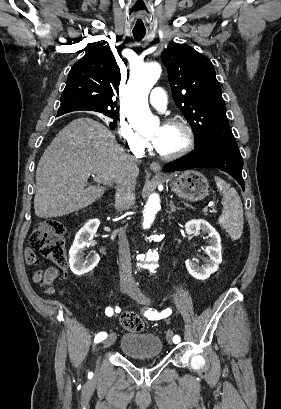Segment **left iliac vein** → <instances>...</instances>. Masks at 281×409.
I'll list each match as a JSON object with an SVG mask.
<instances>
[{"instance_id": "1", "label": "left iliac vein", "mask_w": 281, "mask_h": 409, "mask_svg": "<svg viewBox=\"0 0 281 409\" xmlns=\"http://www.w3.org/2000/svg\"><path fill=\"white\" fill-rule=\"evenodd\" d=\"M127 293L130 297L135 299L137 302L147 305L150 303L149 298H147L144 293L140 290L137 284L131 283L127 289ZM169 344H173V332L168 331L166 335Z\"/></svg>"}]
</instances>
